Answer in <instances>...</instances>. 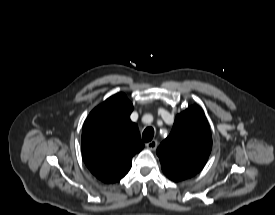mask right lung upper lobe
Listing matches in <instances>:
<instances>
[{
	"label": "right lung upper lobe",
	"instance_id": "right-lung-upper-lobe-1",
	"mask_svg": "<svg viewBox=\"0 0 275 215\" xmlns=\"http://www.w3.org/2000/svg\"><path fill=\"white\" fill-rule=\"evenodd\" d=\"M132 111L126 95L118 93L92 110L84 122V162L105 183L124 177L131 168L132 157L144 147L137 125L130 120Z\"/></svg>",
	"mask_w": 275,
	"mask_h": 215
}]
</instances>
